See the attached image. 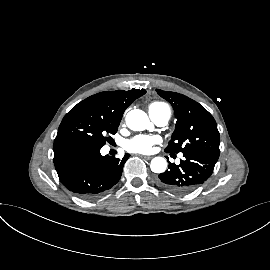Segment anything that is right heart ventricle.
<instances>
[{
	"instance_id": "1",
	"label": "right heart ventricle",
	"mask_w": 270,
	"mask_h": 270,
	"mask_svg": "<svg viewBox=\"0 0 270 270\" xmlns=\"http://www.w3.org/2000/svg\"><path fill=\"white\" fill-rule=\"evenodd\" d=\"M165 111L170 112V108L163 102H153L149 105V112L159 113Z\"/></svg>"
}]
</instances>
